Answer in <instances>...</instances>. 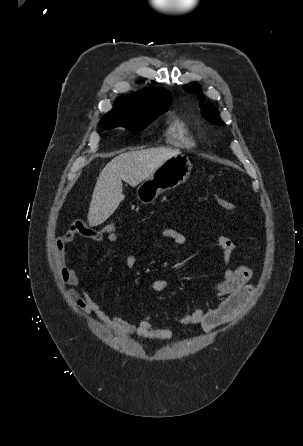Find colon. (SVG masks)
Returning <instances> with one entry per match:
<instances>
[{
	"label": "colon",
	"mask_w": 303,
	"mask_h": 446,
	"mask_svg": "<svg viewBox=\"0 0 303 446\" xmlns=\"http://www.w3.org/2000/svg\"><path fill=\"white\" fill-rule=\"evenodd\" d=\"M216 202H217L218 206L225 211L234 210V205L230 201H228L224 198L217 197ZM100 231L105 236L116 235L117 224L115 222L108 223Z\"/></svg>",
	"instance_id": "5ec220e1"
}]
</instances>
